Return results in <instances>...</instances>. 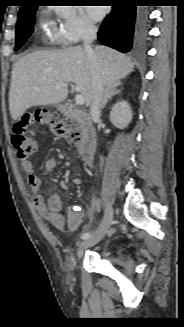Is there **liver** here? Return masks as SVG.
Returning a JSON list of instances; mask_svg holds the SVG:
<instances>
[{
  "label": "liver",
  "mask_w": 184,
  "mask_h": 327,
  "mask_svg": "<svg viewBox=\"0 0 184 327\" xmlns=\"http://www.w3.org/2000/svg\"><path fill=\"white\" fill-rule=\"evenodd\" d=\"M95 56L103 87L120 83L134 71L130 57L99 45ZM74 82L84 97L86 106L92 103L91 63L86 51L80 46L54 51H34L21 57L12 69L9 91V109L17 120L27 109L63 102L67 88H56L57 83Z\"/></svg>",
  "instance_id": "6515ba94"
}]
</instances>
